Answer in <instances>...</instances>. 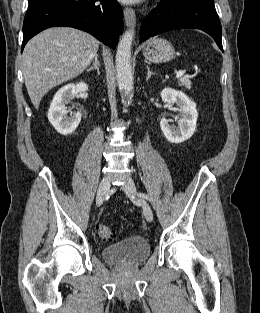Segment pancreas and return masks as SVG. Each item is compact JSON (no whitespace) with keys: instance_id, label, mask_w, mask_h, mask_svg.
Masks as SVG:
<instances>
[{"instance_id":"pancreas-1","label":"pancreas","mask_w":260,"mask_h":313,"mask_svg":"<svg viewBox=\"0 0 260 313\" xmlns=\"http://www.w3.org/2000/svg\"><path fill=\"white\" fill-rule=\"evenodd\" d=\"M179 86H183L187 89H191V81L187 77H181L178 82Z\"/></svg>"}]
</instances>
